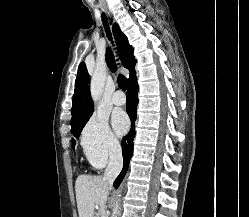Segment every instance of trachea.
<instances>
[{
	"instance_id": "trachea-1",
	"label": "trachea",
	"mask_w": 249,
	"mask_h": 217,
	"mask_svg": "<svg viewBox=\"0 0 249 217\" xmlns=\"http://www.w3.org/2000/svg\"><path fill=\"white\" fill-rule=\"evenodd\" d=\"M102 21H103V25H104L106 33H107V37L109 39H111V33H110V30H109L108 20H107V17H106L105 14H102ZM117 82H118L119 88H121L122 90L125 91L126 88H127V85H128L127 78L125 76H123V75H119Z\"/></svg>"
}]
</instances>
